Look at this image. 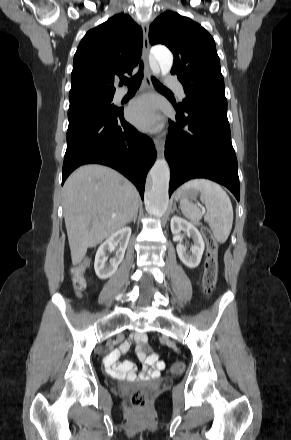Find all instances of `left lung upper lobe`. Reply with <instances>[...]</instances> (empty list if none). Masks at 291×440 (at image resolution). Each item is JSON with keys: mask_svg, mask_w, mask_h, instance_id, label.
Segmentation results:
<instances>
[{"mask_svg": "<svg viewBox=\"0 0 291 440\" xmlns=\"http://www.w3.org/2000/svg\"><path fill=\"white\" fill-rule=\"evenodd\" d=\"M149 41L166 45L174 54L171 73L177 75L186 94L179 110L189 102L227 106L215 42L201 25L175 12H164L151 24Z\"/></svg>", "mask_w": 291, "mask_h": 440, "instance_id": "5c2ea615", "label": "left lung upper lobe"}]
</instances>
